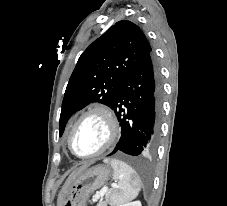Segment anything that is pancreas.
<instances>
[{
    "mask_svg": "<svg viewBox=\"0 0 227 206\" xmlns=\"http://www.w3.org/2000/svg\"><path fill=\"white\" fill-rule=\"evenodd\" d=\"M97 206H107L106 202H99Z\"/></svg>",
    "mask_w": 227,
    "mask_h": 206,
    "instance_id": "obj_1",
    "label": "pancreas"
}]
</instances>
